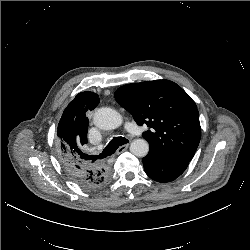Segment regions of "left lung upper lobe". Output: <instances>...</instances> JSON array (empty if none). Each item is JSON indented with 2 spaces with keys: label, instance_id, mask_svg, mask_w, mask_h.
I'll return each mask as SVG.
<instances>
[{
  "label": "left lung upper lobe",
  "instance_id": "obj_1",
  "mask_svg": "<svg viewBox=\"0 0 250 250\" xmlns=\"http://www.w3.org/2000/svg\"><path fill=\"white\" fill-rule=\"evenodd\" d=\"M115 99L138 125L149 127L143 133L149 153L168 160L191 161L201 137L199 112L179 85L169 80L127 84L115 92Z\"/></svg>",
  "mask_w": 250,
  "mask_h": 250
}]
</instances>
